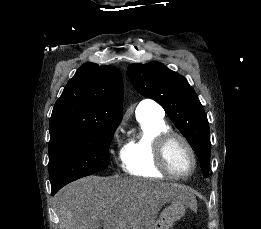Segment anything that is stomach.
Segmentation results:
<instances>
[{
    "label": "stomach",
    "instance_id": "0dacf381",
    "mask_svg": "<svg viewBox=\"0 0 261 229\" xmlns=\"http://www.w3.org/2000/svg\"><path fill=\"white\" fill-rule=\"evenodd\" d=\"M186 213L185 203L183 201H175L173 205H169L161 213L158 221L153 225V229H171L175 221H179Z\"/></svg>",
    "mask_w": 261,
    "mask_h": 229
}]
</instances>
